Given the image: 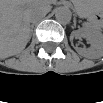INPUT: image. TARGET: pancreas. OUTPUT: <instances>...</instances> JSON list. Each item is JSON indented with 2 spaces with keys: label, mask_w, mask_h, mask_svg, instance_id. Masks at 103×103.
Wrapping results in <instances>:
<instances>
[{
  "label": "pancreas",
  "mask_w": 103,
  "mask_h": 103,
  "mask_svg": "<svg viewBox=\"0 0 103 103\" xmlns=\"http://www.w3.org/2000/svg\"><path fill=\"white\" fill-rule=\"evenodd\" d=\"M81 12H82V11H81ZM83 16H84V17H88V16H89V14H88V13H85Z\"/></svg>",
  "instance_id": "cf45deb5"
}]
</instances>
